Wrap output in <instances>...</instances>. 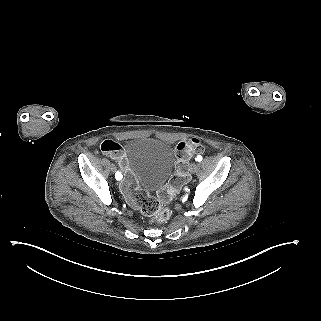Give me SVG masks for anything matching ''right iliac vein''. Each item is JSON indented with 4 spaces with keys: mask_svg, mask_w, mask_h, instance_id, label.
<instances>
[{
    "mask_svg": "<svg viewBox=\"0 0 321 321\" xmlns=\"http://www.w3.org/2000/svg\"><path fill=\"white\" fill-rule=\"evenodd\" d=\"M110 169H111V172H115L116 171V167L113 164L110 166Z\"/></svg>",
    "mask_w": 321,
    "mask_h": 321,
    "instance_id": "63e3f726",
    "label": "right iliac vein"
}]
</instances>
